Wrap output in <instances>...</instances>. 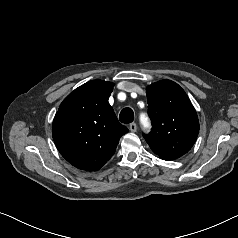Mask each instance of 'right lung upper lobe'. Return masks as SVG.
Instances as JSON below:
<instances>
[{
	"mask_svg": "<svg viewBox=\"0 0 238 238\" xmlns=\"http://www.w3.org/2000/svg\"><path fill=\"white\" fill-rule=\"evenodd\" d=\"M114 84L92 80L61 103L52 136L61 155L76 168L96 171L115 153L128 129L119 123L108 99Z\"/></svg>",
	"mask_w": 238,
	"mask_h": 238,
	"instance_id": "cb5924a9",
	"label": "right lung upper lobe"
}]
</instances>
